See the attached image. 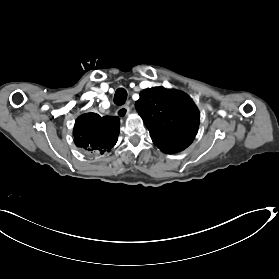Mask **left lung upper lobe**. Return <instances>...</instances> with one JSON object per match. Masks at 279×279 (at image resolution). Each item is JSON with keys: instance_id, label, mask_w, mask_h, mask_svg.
<instances>
[{"instance_id": "left-lung-upper-lobe-1", "label": "left lung upper lobe", "mask_w": 279, "mask_h": 279, "mask_svg": "<svg viewBox=\"0 0 279 279\" xmlns=\"http://www.w3.org/2000/svg\"><path fill=\"white\" fill-rule=\"evenodd\" d=\"M135 108L153 143L164 153L184 150L197 134L200 113L190 97L181 91L163 87L145 89Z\"/></svg>"}]
</instances>
